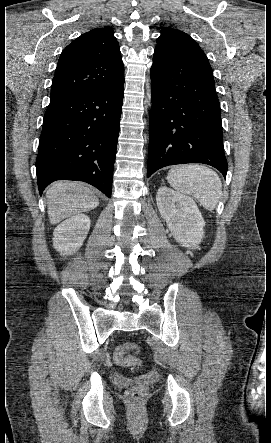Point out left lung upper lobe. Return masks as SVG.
<instances>
[{
  "mask_svg": "<svg viewBox=\"0 0 271 443\" xmlns=\"http://www.w3.org/2000/svg\"><path fill=\"white\" fill-rule=\"evenodd\" d=\"M160 33L161 35L157 39L156 49L208 60L199 45L183 31L173 28H163Z\"/></svg>",
  "mask_w": 271,
  "mask_h": 443,
  "instance_id": "left-lung-upper-lobe-1",
  "label": "left lung upper lobe"
}]
</instances>
